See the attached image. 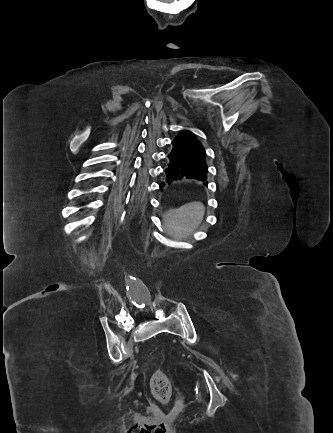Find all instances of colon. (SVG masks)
Returning <instances> with one entry per match:
<instances>
[{
  "mask_svg": "<svg viewBox=\"0 0 333 433\" xmlns=\"http://www.w3.org/2000/svg\"><path fill=\"white\" fill-rule=\"evenodd\" d=\"M151 390L157 401L167 403L172 394V382L166 371L159 369L151 378Z\"/></svg>",
  "mask_w": 333,
  "mask_h": 433,
  "instance_id": "1",
  "label": "colon"
}]
</instances>
